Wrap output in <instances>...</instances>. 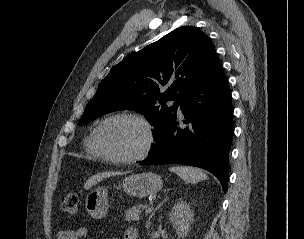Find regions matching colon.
Returning a JSON list of instances; mask_svg holds the SVG:
<instances>
[{
	"instance_id": "obj_1",
	"label": "colon",
	"mask_w": 304,
	"mask_h": 239,
	"mask_svg": "<svg viewBox=\"0 0 304 239\" xmlns=\"http://www.w3.org/2000/svg\"><path fill=\"white\" fill-rule=\"evenodd\" d=\"M60 209L67 214H77L79 211V197L76 194H67L60 199Z\"/></svg>"
}]
</instances>
